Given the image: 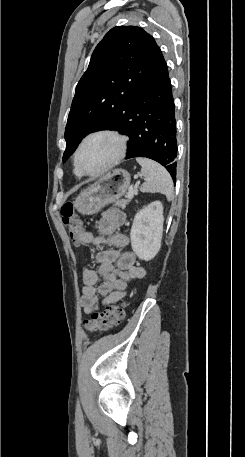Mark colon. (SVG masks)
<instances>
[{
	"instance_id": "1",
	"label": "colon",
	"mask_w": 245,
	"mask_h": 457,
	"mask_svg": "<svg viewBox=\"0 0 245 457\" xmlns=\"http://www.w3.org/2000/svg\"><path fill=\"white\" fill-rule=\"evenodd\" d=\"M61 216L69 237L73 242L78 243L81 226L72 203L68 202L62 206ZM124 315V304H112L107 306L101 313H93L90 319L84 321L83 326L88 332L106 331L118 325L123 320Z\"/></svg>"
}]
</instances>
